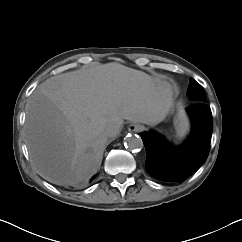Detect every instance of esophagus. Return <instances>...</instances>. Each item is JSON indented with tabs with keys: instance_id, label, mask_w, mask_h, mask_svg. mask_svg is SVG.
Returning <instances> with one entry per match:
<instances>
[{
	"instance_id": "34e87169",
	"label": "esophagus",
	"mask_w": 242,
	"mask_h": 242,
	"mask_svg": "<svg viewBox=\"0 0 242 242\" xmlns=\"http://www.w3.org/2000/svg\"><path fill=\"white\" fill-rule=\"evenodd\" d=\"M144 129V127L142 125L139 124H131L128 127V131L130 132H141Z\"/></svg>"
}]
</instances>
